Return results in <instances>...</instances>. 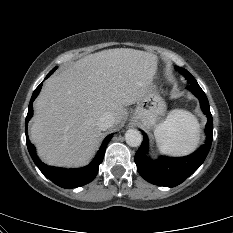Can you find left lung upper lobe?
I'll list each match as a JSON object with an SVG mask.
<instances>
[{"mask_svg": "<svg viewBox=\"0 0 233 233\" xmlns=\"http://www.w3.org/2000/svg\"><path fill=\"white\" fill-rule=\"evenodd\" d=\"M176 69L182 74L184 75V77L187 79V81L192 84V83H197L196 80L194 79V77L184 68L178 67L176 66Z\"/></svg>", "mask_w": 233, "mask_h": 233, "instance_id": "1", "label": "left lung upper lobe"}]
</instances>
